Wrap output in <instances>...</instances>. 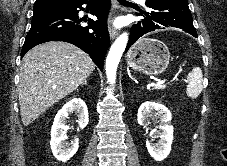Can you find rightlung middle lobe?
<instances>
[{
	"label": "right lung middle lobe",
	"mask_w": 227,
	"mask_h": 166,
	"mask_svg": "<svg viewBox=\"0 0 227 166\" xmlns=\"http://www.w3.org/2000/svg\"><path fill=\"white\" fill-rule=\"evenodd\" d=\"M69 6L67 5H38L33 8V18H37L49 13L66 11Z\"/></svg>",
	"instance_id": "obj_1"
}]
</instances>
